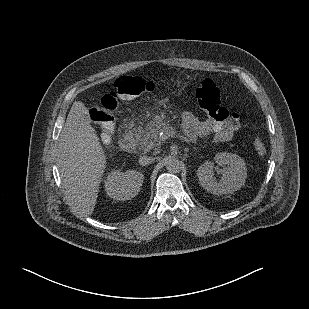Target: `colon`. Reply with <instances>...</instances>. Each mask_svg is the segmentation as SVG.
Wrapping results in <instances>:
<instances>
[{
  "mask_svg": "<svg viewBox=\"0 0 309 309\" xmlns=\"http://www.w3.org/2000/svg\"><path fill=\"white\" fill-rule=\"evenodd\" d=\"M161 87L160 82L140 77L121 76L116 79L112 89L102 95L100 106L94 114V120L101 125L104 137L109 138L115 132L114 112L120 100H131L139 95L159 90ZM195 96L199 108L209 120L223 125L235 126L239 124L240 115L221 105L220 90L213 80H202L196 89ZM253 147L258 155H265L266 146L261 138L254 139Z\"/></svg>",
  "mask_w": 309,
  "mask_h": 309,
  "instance_id": "obj_1",
  "label": "colon"
}]
</instances>
